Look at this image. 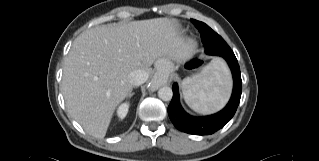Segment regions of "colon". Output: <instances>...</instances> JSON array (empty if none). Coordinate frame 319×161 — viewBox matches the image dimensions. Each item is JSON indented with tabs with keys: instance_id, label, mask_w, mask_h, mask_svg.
Here are the masks:
<instances>
[{
	"instance_id": "5ec220e1",
	"label": "colon",
	"mask_w": 319,
	"mask_h": 161,
	"mask_svg": "<svg viewBox=\"0 0 319 161\" xmlns=\"http://www.w3.org/2000/svg\"><path fill=\"white\" fill-rule=\"evenodd\" d=\"M197 63V60L193 59V58H188L185 61V67L186 68H191L193 67L195 64Z\"/></svg>"
}]
</instances>
